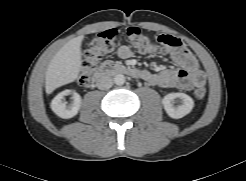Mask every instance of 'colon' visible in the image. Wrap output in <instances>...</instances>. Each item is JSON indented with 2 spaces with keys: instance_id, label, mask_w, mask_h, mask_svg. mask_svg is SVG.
I'll list each match as a JSON object with an SVG mask.
<instances>
[{
  "instance_id": "5ec220e1",
  "label": "colon",
  "mask_w": 246,
  "mask_h": 181,
  "mask_svg": "<svg viewBox=\"0 0 246 181\" xmlns=\"http://www.w3.org/2000/svg\"><path fill=\"white\" fill-rule=\"evenodd\" d=\"M123 36L139 53H152L163 47L179 48L181 41L170 35H161L156 37L157 43L137 27H128L123 31ZM118 30L109 29L96 34L90 41L85 51L82 69L79 74V83L86 84L93 71L97 68L102 58L113 51L116 47ZM194 96L197 99H203L206 96V89L202 86L194 90Z\"/></svg>"
}]
</instances>
